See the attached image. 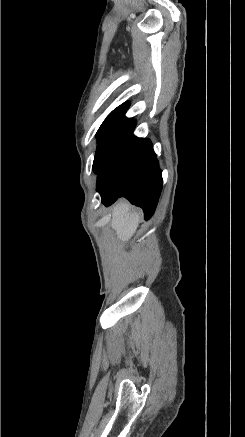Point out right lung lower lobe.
<instances>
[{"mask_svg":"<svg viewBox=\"0 0 245 437\" xmlns=\"http://www.w3.org/2000/svg\"><path fill=\"white\" fill-rule=\"evenodd\" d=\"M97 174V191L104 205L110 206L125 197L143 209L146 220L153 215L163 180L150 140L135 137L132 130L114 148Z\"/></svg>","mask_w":245,"mask_h":437,"instance_id":"obj_1","label":"right lung lower lobe"}]
</instances>
